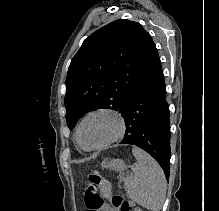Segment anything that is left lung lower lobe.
<instances>
[{
    "instance_id": "left-lung-lower-lobe-1",
    "label": "left lung lower lobe",
    "mask_w": 219,
    "mask_h": 211,
    "mask_svg": "<svg viewBox=\"0 0 219 211\" xmlns=\"http://www.w3.org/2000/svg\"><path fill=\"white\" fill-rule=\"evenodd\" d=\"M126 131L121 144L149 153L169 178L170 112L161 63L132 94L123 115Z\"/></svg>"
}]
</instances>
